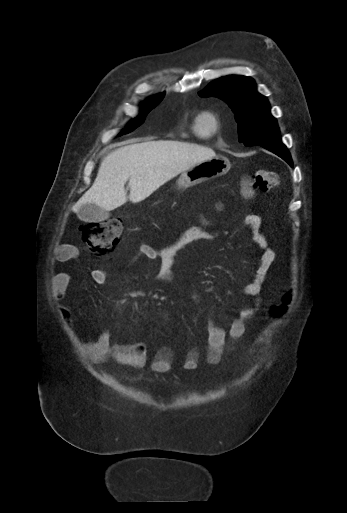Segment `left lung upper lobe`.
I'll return each mask as SVG.
<instances>
[{
    "mask_svg": "<svg viewBox=\"0 0 347 513\" xmlns=\"http://www.w3.org/2000/svg\"><path fill=\"white\" fill-rule=\"evenodd\" d=\"M199 95L217 96L228 103L238 122L239 141L244 145L281 143L276 119L270 114L269 102L256 91L252 78L222 77L214 80Z\"/></svg>",
    "mask_w": 347,
    "mask_h": 513,
    "instance_id": "obj_1",
    "label": "left lung upper lobe"
}]
</instances>
